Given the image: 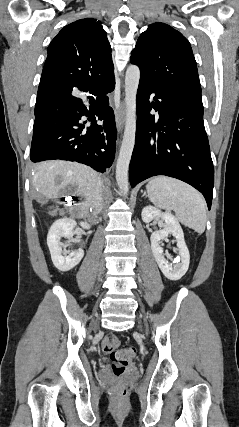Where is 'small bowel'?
<instances>
[{
  "mask_svg": "<svg viewBox=\"0 0 239 427\" xmlns=\"http://www.w3.org/2000/svg\"><path fill=\"white\" fill-rule=\"evenodd\" d=\"M119 345V340L115 336L107 337L102 341L103 351L108 353Z\"/></svg>",
  "mask_w": 239,
  "mask_h": 427,
  "instance_id": "1",
  "label": "small bowel"
}]
</instances>
